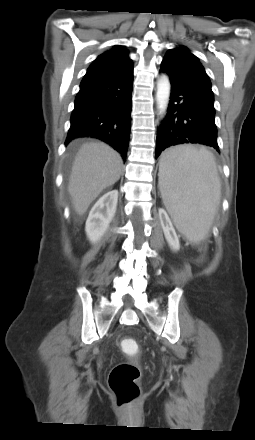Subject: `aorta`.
Returning a JSON list of instances; mask_svg holds the SVG:
<instances>
[{
  "label": "aorta",
  "instance_id": "aorta-1",
  "mask_svg": "<svg viewBox=\"0 0 255 440\" xmlns=\"http://www.w3.org/2000/svg\"><path fill=\"white\" fill-rule=\"evenodd\" d=\"M169 96H170V81L168 76L163 75L160 77L157 83V93H156L157 107L159 109L161 116L165 115L166 113L169 102Z\"/></svg>",
  "mask_w": 255,
  "mask_h": 440
}]
</instances>
